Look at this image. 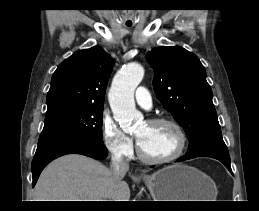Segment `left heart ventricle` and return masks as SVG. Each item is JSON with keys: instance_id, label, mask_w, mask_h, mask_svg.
<instances>
[{"instance_id": "1", "label": "left heart ventricle", "mask_w": 259, "mask_h": 211, "mask_svg": "<svg viewBox=\"0 0 259 211\" xmlns=\"http://www.w3.org/2000/svg\"><path fill=\"white\" fill-rule=\"evenodd\" d=\"M140 147L151 157H165L177 147L175 130L166 124L153 125L142 123L135 131Z\"/></svg>"}]
</instances>
